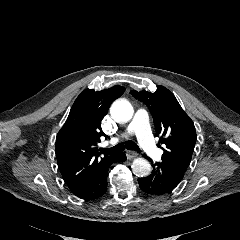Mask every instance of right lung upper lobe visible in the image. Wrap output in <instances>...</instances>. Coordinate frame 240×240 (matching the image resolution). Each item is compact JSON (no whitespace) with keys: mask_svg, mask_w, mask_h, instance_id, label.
<instances>
[{"mask_svg":"<svg viewBox=\"0 0 240 240\" xmlns=\"http://www.w3.org/2000/svg\"><path fill=\"white\" fill-rule=\"evenodd\" d=\"M125 88L113 86L100 92L86 89L75 100L69 116L56 137V156L65 183L74 192L106 163L96 147L101 137V121L111 103Z\"/></svg>","mask_w":240,"mask_h":240,"instance_id":"right-lung-upper-lobe-1","label":"right lung upper lobe"}]
</instances>
